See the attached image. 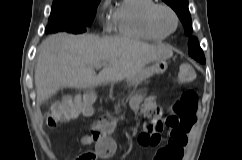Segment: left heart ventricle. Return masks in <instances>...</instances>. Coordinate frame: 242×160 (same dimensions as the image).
Listing matches in <instances>:
<instances>
[{
	"label": "left heart ventricle",
	"instance_id": "1",
	"mask_svg": "<svg viewBox=\"0 0 242 160\" xmlns=\"http://www.w3.org/2000/svg\"><path fill=\"white\" fill-rule=\"evenodd\" d=\"M159 22L166 29H172L173 25H174V21H173L172 16L166 11L160 12Z\"/></svg>",
	"mask_w": 242,
	"mask_h": 160
}]
</instances>
